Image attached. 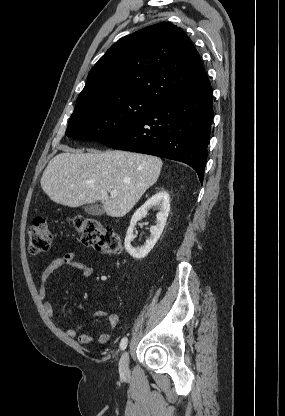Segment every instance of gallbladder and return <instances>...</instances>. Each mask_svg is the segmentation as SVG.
<instances>
[{
  "mask_svg": "<svg viewBox=\"0 0 285 416\" xmlns=\"http://www.w3.org/2000/svg\"><path fill=\"white\" fill-rule=\"evenodd\" d=\"M84 212H86V214H91V216H103V214H105L101 204H86Z\"/></svg>",
  "mask_w": 285,
  "mask_h": 416,
  "instance_id": "bac80fb5",
  "label": "gallbladder"
}]
</instances>
